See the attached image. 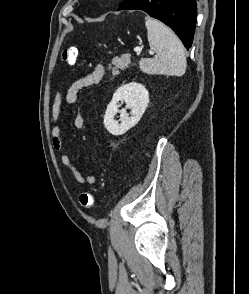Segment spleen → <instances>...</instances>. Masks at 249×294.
<instances>
[{
	"label": "spleen",
	"mask_w": 249,
	"mask_h": 294,
	"mask_svg": "<svg viewBox=\"0 0 249 294\" xmlns=\"http://www.w3.org/2000/svg\"><path fill=\"white\" fill-rule=\"evenodd\" d=\"M149 46L155 51L153 58H143L140 70L150 75L182 76L186 71V57L183 44L175 33L156 19L147 17Z\"/></svg>",
	"instance_id": "obj_1"
}]
</instances>
